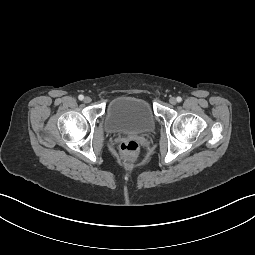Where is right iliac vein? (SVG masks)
<instances>
[{
	"label": "right iliac vein",
	"mask_w": 255,
	"mask_h": 255,
	"mask_svg": "<svg viewBox=\"0 0 255 255\" xmlns=\"http://www.w3.org/2000/svg\"><path fill=\"white\" fill-rule=\"evenodd\" d=\"M84 102H85V103H90V102H91V98L88 97V96L85 97V98H84Z\"/></svg>",
	"instance_id": "63e3f726"
}]
</instances>
